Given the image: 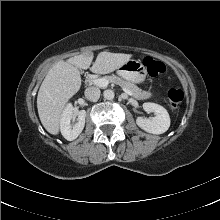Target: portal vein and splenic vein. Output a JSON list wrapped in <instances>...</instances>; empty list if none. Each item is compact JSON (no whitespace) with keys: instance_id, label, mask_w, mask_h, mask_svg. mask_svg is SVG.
I'll list each match as a JSON object with an SVG mask.
<instances>
[{"instance_id":"portal-vein-and-splenic-vein-1","label":"portal vein and splenic vein","mask_w":220,"mask_h":220,"mask_svg":"<svg viewBox=\"0 0 220 220\" xmlns=\"http://www.w3.org/2000/svg\"><path fill=\"white\" fill-rule=\"evenodd\" d=\"M93 83L96 85V86H99V87H107L108 84H109V81L105 78H98V79H94L93 80ZM122 90L127 93L128 95H132V92L126 88H122Z\"/></svg>"}]
</instances>
